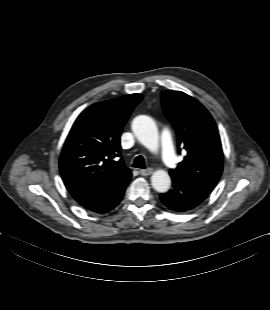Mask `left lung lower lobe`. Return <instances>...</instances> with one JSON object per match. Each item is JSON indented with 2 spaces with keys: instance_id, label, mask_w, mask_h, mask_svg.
Instances as JSON below:
<instances>
[{
  "instance_id": "0a47b994",
  "label": "left lung lower lobe",
  "mask_w": 270,
  "mask_h": 310,
  "mask_svg": "<svg viewBox=\"0 0 270 310\" xmlns=\"http://www.w3.org/2000/svg\"><path fill=\"white\" fill-rule=\"evenodd\" d=\"M173 189L161 194V201L171 210L185 212L201 204L213 191L214 187L186 181L179 176L171 175Z\"/></svg>"
}]
</instances>
